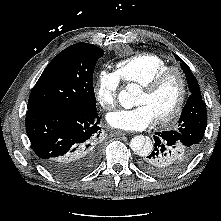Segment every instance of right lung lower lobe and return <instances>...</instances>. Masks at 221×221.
Listing matches in <instances>:
<instances>
[{"label":"right lung lower lobe","mask_w":221,"mask_h":221,"mask_svg":"<svg viewBox=\"0 0 221 221\" xmlns=\"http://www.w3.org/2000/svg\"><path fill=\"white\" fill-rule=\"evenodd\" d=\"M99 123L97 110L28 109L26 114L33 151L49 172L63 179L83 176L97 164Z\"/></svg>","instance_id":"98d812e1"}]
</instances>
